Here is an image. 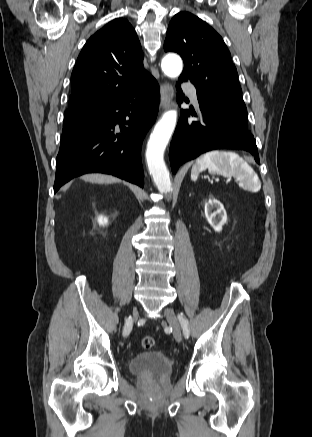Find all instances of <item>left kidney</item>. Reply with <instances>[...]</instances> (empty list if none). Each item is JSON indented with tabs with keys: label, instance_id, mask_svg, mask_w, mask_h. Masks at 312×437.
Returning <instances> with one entry per match:
<instances>
[{
	"label": "left kidney",
	"instance_id": "obj_1",
	"mask_svg": "<svg viewBox=\"0 0 312 437\" xmlns=\"http://www.w3.org/2000/svg\"><path fill=\"white\" fill-rule=\"evenodd\" d=\"M216 208V211L213 210ZM205 217L208 222L214 227V229L220 231L222 226L227 220V215L224 206L220 201L215 199L212 195L209 200L205 203Z\"/></svg>",
	"mask_w": 312,
	"mask_h": 437
}]
</instances>
